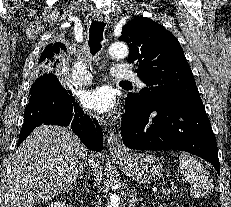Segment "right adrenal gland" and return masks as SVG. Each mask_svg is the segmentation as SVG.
Returning <instances> with one entry per match:
<instances>
[{"mask_svg": "<svg viewBox=\"0 0 231 207\" xmlns=\"http://www.w3.org/2000/svg\"><path fill=\"white\" fill-rule=\"evenodd\" d=\"M77 190L79 191V193H80V191L83 193L84 192V189L83 188H79V187H77Z\"/></svg>", "mask_w": 231, "mask_h": 207, "instance_id": "obj_1", "label": "right adrenal gland"}]
</instances>
